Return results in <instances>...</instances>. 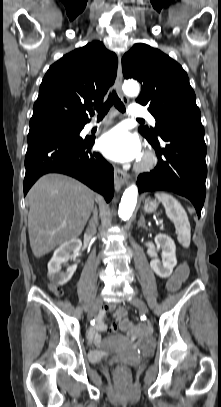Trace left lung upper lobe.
Returning a JSON list of instances; mask_svg holds the SVG:
<instances>
[{
    "instance_id": "5c2ea615",
    "label": "left lung upper lobe",
    "mask_w": 221,
    "mask_h": 407,
    "mask_svg": "<svg viewBox=\"0 0 221 407\" xmlns=\"http://www.w3.org/2000/svg\"><path fill=\"white\" fill-rule=\"evenodd\" d=\"M122 70L126 79L133 78L142 83L136 101L147 105L156 119L154 130L148 127L138 129L144 137H156L159 127L175 119H201L186 72L160 50L147 44H135L123 56Z\"/></svg>"
}]
</instances>
